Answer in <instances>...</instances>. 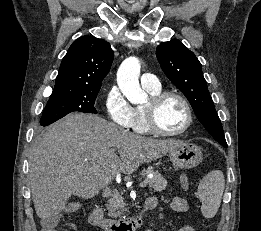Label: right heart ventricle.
<instances>
[{
    "label": "right heart ventricle",
    "mask_w": 261,
    "mask_h": 231,
    "mask_svg": "<svg viewBox=\"0 0 261 231\" xmlns=\"http://www.w3.org/2000/svg\"><path fill=\"white\" fill-rule=\"evenodd\" d=\"M146 89V88H145ZM151 96L157 95L161 92L160 89H146ZM132 129L138 134H149L151 131L145 122L144 110L142 106L134 108V117L132 123Z\"/></svg>",
    "instance_id": "e07e8e85"
}]
</instances>
